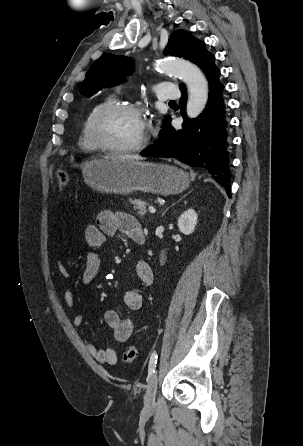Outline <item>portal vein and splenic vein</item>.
<instances>
[{
	"instance_id": "18ae733b",
	"label": "portal vein and splenic vein",
	"mask_w": 303,
	"mask_h": 446,
	"mask_svg": "<svg viewBox=\"0 0 303 446\" xmlns=\"http://www.w3.org/2000/svg\"><path fill=\"white\" fill-rule=\"evenodd\" d=\"M149 211H150V213H155L156 212V209L153 207V206H149Z\"/></svg>"
}]
</instances>
